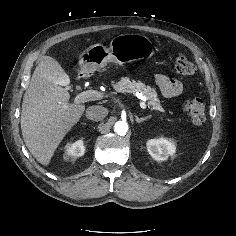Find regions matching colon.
Returning <instances> with one entry per match:
<instances>
[{
    "label": "colon",
    "mask_w": 236,
    "mask_h": 236,
    "mask_svg": "<svg viewBox=\"0 0 236 236\" xmlns=\"http://www.w3.org/2000/svg\"><path fill=\"white\" fill-rule=\"evenodd\" d=\"M174 70L180 77L187 78L195 73V66L187 57L179 55L175 58ZM184 109L193 123L202 124L205 122V106L201 98L194 97L187 100Z\"/></svg>",
    "instance_id": "obj_1"
}]
</instances>
